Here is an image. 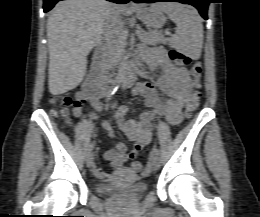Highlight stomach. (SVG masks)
<instances>
[{"label":"stomach","instance_id":"stomach-1","mask_svg":"<svg viewBox=\"0 0 260 217\" xmlns=\"http://www.w3.org/2000/svg\"><path fill=\"white\" fill-rule=\"evenodd\" d=\"M137 17L148 27L161 28L165 23V17L161 11L151 7L140 6L136 9Z\"/></svg>","mask_w":260,"mask_h":217}]
</instances>
